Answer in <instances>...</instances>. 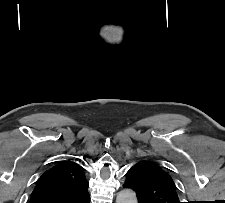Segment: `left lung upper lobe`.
<instances>
[{
	"mask_svg": "<svg viewBox=\"0 0 225 203\" xmlns=\"http://www.w3.org/2000/svg\"><path fill=\"white\" fill-rule=\"evenodd\" d=\"M124 185L136 192L138 203H180L171 176L153 161H140L126 173Z\"/></svg>",
	"mask_w": 225,
	"mask_h": 203,
	"instance_id": "left-lung-upper-lobe-1",
	"label": "left lung upper lobe"
}]
</instances>
